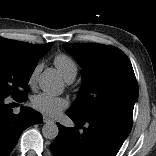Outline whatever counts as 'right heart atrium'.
Here are the masks:
<instances>
[{
    "label": "right heart atrium",
    "mask_w": 156,
    "mask_h": 156,
    "mask_svg": "<svg viewBox=\"0 0 156 156\" xmlns=\"http://www.w3.org/2000/svg\"><path fill=\"white\" fill-rule=\"evenodd\" d=\"M42 68V64L41 63H38L34 68L33 70L31 71L30 75H29V78H28V84L33 86L36 84V81H37V76H38V73L39 71L41 70Z\"/></svg>",
    "instance_id": "obj_1"
}]
</instances>
